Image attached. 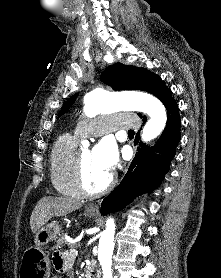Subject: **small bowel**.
<instances>
[{
    "label": "small bowel",
    "mask_w": 221,
    "mask_h": 278,
    "mask_svg": "<svg viewBox=\"0 0 221 278\" xmlns=\"http://www.w3.org/2000/svg\"><path fill=\"white\" fill-rule=\"evenodd\" d=\"M74 256L75 254L73 251H59L54 253L52 262L57 271V275L53 278H62L63 276L71 278L73 276L72 265Z\"/></svg>",
    "instance_id": "c3829d8e"
}]
</instances>
